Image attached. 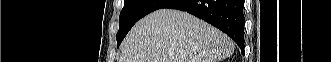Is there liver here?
<instances>
[{
	"label": "liver",
	"instance_id": "1",
	"mask_svg": "<svg viewBox=\"0 0 331 62\" xmlns=\"http://www.w3.org/2000/svg\"><path fill=\"white\" fill-rule=\"evenodd\" d=\"M226 34L187 12L157 10L125 38L119 62H220L234 52Z\"/></svg>",
	"mask_w": 331,
	"mask_h": 62
}]
</instances>
